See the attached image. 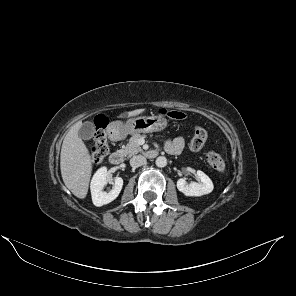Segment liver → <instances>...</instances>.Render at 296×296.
<instances>
[{
  "label": "liver",
  "instance_id": "liver-1",
  "mask_svg": "<svg viewBox=\"0 0 296 296\" xmlns=\"http://www.w3.org/2000/svg\"><path fill=\"white\" fill-rule=\"evenodd\" d=\"M145 109L128 112V117L142 114ZM82 122L75 123L66 134L60 154V169L64 184L78 198L88 193L92 173V158L85 143L78 135Z\"/></svg>",
  "mask_w": 296,
  "mask_h": 296
}]
</instances>
